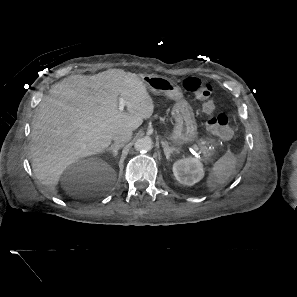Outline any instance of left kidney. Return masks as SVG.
Wrapping results in <instances>:
<instances>
[{"mask_svg": "<svg viewBox=\"0 0 297 297\" xmlns=\"http://www.w3.org/2000/svg\"><path fill=\"white\" fill-rule=\"evenodd\" d=\"M173 173L179 183L192 186L204 177V167L200 159L190 157L177 160Z\"/></svg>", "mask_w": 297, "mask_h": 297, "instance_id": "obj_1", "label": "left kidney"}]
</instances>
